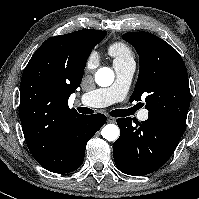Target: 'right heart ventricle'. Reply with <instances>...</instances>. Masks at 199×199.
<instances>
[{
  "label": "right heart ventricle",
  "instance_id": "1",
  "mask_svg": "<svg viewBox=\"0 0 199 199\" xmlns=\"http://www.w3.org/2000/svg\"><path fill=\"white\" fill-rule=\"evenodd\" d=\"M108 52L114 58V63L133 60L132 50L123 42H115L111 44Z\"/></svg>",
  "mask_w": 199,
  "mask_h": 199
}]
</instances>
